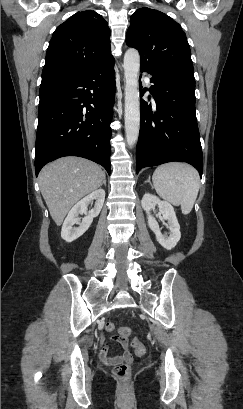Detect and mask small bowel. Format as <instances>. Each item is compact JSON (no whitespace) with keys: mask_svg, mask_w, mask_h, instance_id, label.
Here are the masks:
<instances>
[{"mask_svg":"<svg viewBox=\"0 0 243 409\" xmlns=\"http://www.w3.org/2000/svg\"><path fill=\"white\" fill-rule=\"evenodd\" d=\"M110 341H115L114 339L111 340H104L103 338H100V348H99V359L102 363L106 365H115L118 362H129L132 360V355L128 351V340L125 341H120L116 340L121 347L125 349V351L117 356H111L109 353V343Z\"/></svg>","mask_w":243,"mask_h":409,"instance_id":"obj_1","label":"small bowel"}]
</instances>
